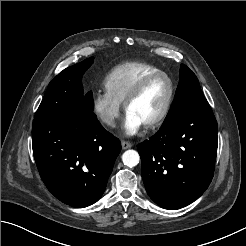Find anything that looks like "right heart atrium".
<instances>
[{"label":"right heart atrium","instance_id":"right-heart-atrium-1","mask_svg":"<svg viewBox=\"0 0 246 246\" xmlns=\"http://www.w3.org/2000/svg\"><path fill=\"white\" fill-rule=\"evenodd\" d=\"M91 108L96 118L106 127L113 128L121 113V103L115 100L107 91H97L93 94Z\"/></svg>","mask_w":246,"mask_h":246}]
</instances>
